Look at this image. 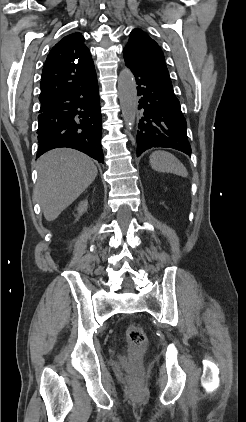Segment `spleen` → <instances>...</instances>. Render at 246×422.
Masks as SVG:
<instances>
[{
  "label": "spleen",
  "mask_w": 246,
  "mask_h": 422,
  "mask_svg": "<svg viewBox=\"0 0 246 422\" xmlns=\"http://www.w3.org/2000/svg\"><path fill=\"white\" fill-rule=\"evenodd\" d=\"M152 169L159 172L174 173L187 177L188 171L185 166L171 153L166 151H155L149 158Z\"/></svg>",
  "instance_id": "spleen-1"
}]
</instances>
